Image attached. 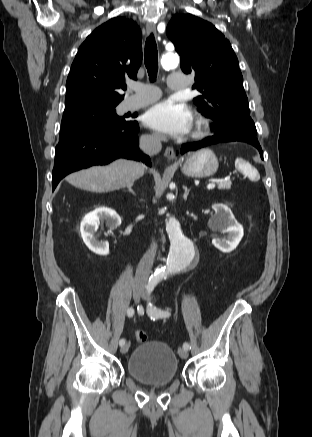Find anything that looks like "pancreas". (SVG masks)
I'll return each instance as SVG.
<instances>
[{"instance_id": "pancreas-1", "label": "pancreas", "mask_w": 312, "mask_h": 437, "mask_svg": "<svg viewBox=\"0 0 312 437\" xmlns=\"http://www.w3.org/2000/svg\"><path fill=\"white\" fill-rule=\"evenodd\" d=\"M231 185H232L231 181H225V182H222L218 185V189L229 190L231 188Z\"/></svg>"}]
</instances>
